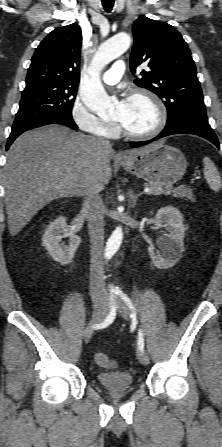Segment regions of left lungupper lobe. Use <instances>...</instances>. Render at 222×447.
<instances>
[{"label": "left lung upper lobe", "instance_id": "1", "mask_svg": "<svg viewBox=\"0 0 222 447\" xmlns=\"http://www.w3.org/2000/svg\"><path fill=\"white\" fill-rule=\"evenodd\" d=\"M134 47L130 68L135 73L142 63L141 79L134 83L164 100L168 111L167 123L186 117L209 125L200 82L188 45L171 25L139 17L133 25Z\"/></svg>", "mask_w": 222, "mask_h": 447}]
</instances>
